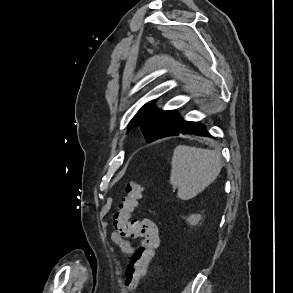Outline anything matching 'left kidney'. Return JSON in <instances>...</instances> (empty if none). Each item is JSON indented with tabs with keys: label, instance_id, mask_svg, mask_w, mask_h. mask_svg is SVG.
<instances>
[{
	"label": "left kidney",
	"instance_id": "1",
	"mask_svg": "<svg viewBox=\"0 0 293 293\" xmlns=\"http://www.w3.org/2000/svg\"><path fill=\"white\" fill-rule=\"evenodd\" d=\"M201 219L202 217L200 214H193L188 217L187 221L191 226H195L200 222Z\"/></svg>",
	"mask_w": 293,
	"mask_h": 293
}]
</instances>
